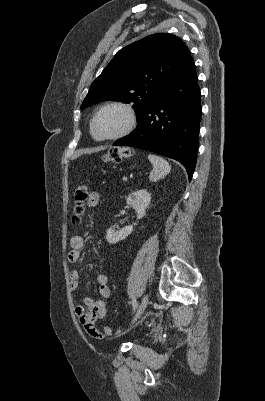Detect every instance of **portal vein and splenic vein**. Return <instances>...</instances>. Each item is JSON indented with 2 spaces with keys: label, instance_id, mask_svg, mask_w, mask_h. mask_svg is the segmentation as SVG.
<instances>
[{
  "label": "portal vein and splenic vein",
  "instance_id": "obj_1",
  "mask_svg": "<svg viewBox=\"0 0 265 401\" xmlns=\"http://www.w3.org/2000/svg\"><path fill=\"white\" fill-rule=\"evenodd\" d=\"M122 180H123V181H127V180H128V177H127V176H123V177H122Z\"/></svg>",
  "mask_w": 265,
  "mask_h": 401
}]
</instances>
